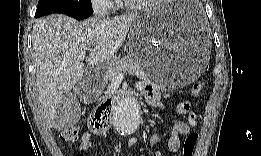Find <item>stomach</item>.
I'll use <instances>...</instances> for the list:
<instances>
[{"label": "stomach", "instance_id": "0dacf381", "mask_svg": "<svg viewBox=\"0 0 261 156\" xmlns=\"http://www.w3.org/2000/svg\"><path fill=\"white\" fill-rule=\"evenodd\" d=\"M190 4L164 2L143 12L130 29L131 54L162 89L191 83L208 63L210 42L192 25L186 12ZM105 68L96 67L83 78L82 83L94 96L104 87Z\"/></svg>", "mask_w": 261, "mask_h": 156}]
</instances>
